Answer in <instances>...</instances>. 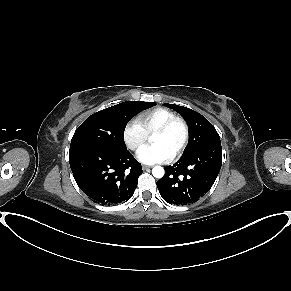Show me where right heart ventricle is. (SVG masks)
<instances>
[{
	"instance_id": "1",
	"label": "right heart ventricle",
	"mask_w": 291,
	"mask_h": 291,
	"mask_svg": "<svg viewBox=\"0 0 291 291\" xmlns=\"http://www.w3.org/2000/svg\"><path fill=\"white\" fill-rule=\"evenodd\" d=\"M176 117V114L163 107H158L140 113L136 121L145 129L148 134L154 133L166 121Z\"/></svg>"
}]
</instances>
